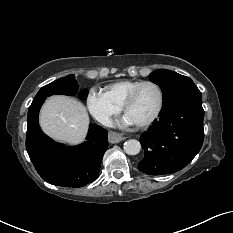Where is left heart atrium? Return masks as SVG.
I'll return each instance as SVG.
<instances>
[{"instance_id":"left-heart-atrium-1","label":"left heart atrium","mask_w":233,"mask_h":233,"mask_svg":"<svg viewBox=\"0 0 233 233\" xmlns=\"http://www.w3.org/2000/svg\"><path fill=\"white\" fill-rule=\"evenodd\" d=\"M118 125L121 126H129L135 124V121L129 117L127 114L122 118L121 121L117 122Z\"/></svg>"}]
</instances>
